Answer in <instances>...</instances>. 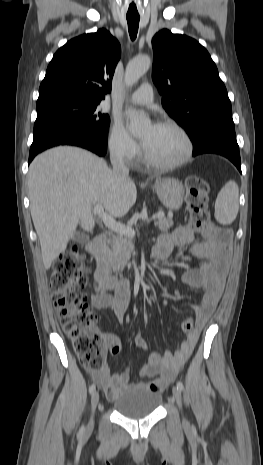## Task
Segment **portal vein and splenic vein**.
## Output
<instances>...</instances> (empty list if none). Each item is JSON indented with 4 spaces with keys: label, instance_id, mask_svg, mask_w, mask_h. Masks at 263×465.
<instances>
[{
    "label": "portal vein and splenic vein",
    "instance_id": "obj_1",
    "mask_svg": "<svg viewBox=\"0 0 263 465\" xmlns=\"http://www.w3.org/2000/svg\"><path fill=\"white\" fill-rule=\"evenodd\" d=\"M93 213L97 215L99 218H101V220L103 221V223L108 229L115 231L119 234L127 235L131 238L135 236V231L134 229L131 228V226L123 225V224L116 222L112 215L104 211V207L102 205H95L93 209ZM163 216H164L163 212H158L157 214H154L150 218V220H148V222H150L151 220H155L157 218H162Z\"/></svg>",
    "mask_w": 263,
    "mask_h": 465
}]
</instances>
